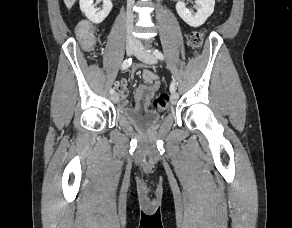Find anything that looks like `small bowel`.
Listing matches in <instances>:
<instances>
[{
    "mask_svg": "<svg viewBox=\"0 0 292 228\" xmlns=\"http://www.w3.org/2000/svg\"><path fill=\"white\" fill-rule=\"evenodd\" d=\"M145 84L139 85L135 91V107L150 108L151 98L159 88L158 76L151 70L145 69L142 72ZM129 79L123 78L116 83L119 92V102L123 107H128V86Z\"/></svg>",
    "mask_w": 292,
    "mask_h": 228,
    "instance_id": "obj_1",
    "label": "small bowel"
}]
</instances>
